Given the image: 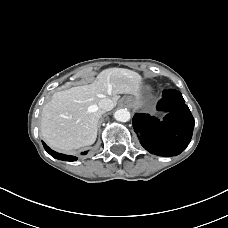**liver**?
Wrapping results in <instances>:
<instances>
[{
  "label": "liver",
  "instance_id": "liver-1",
  "mask_svg": "<svg viewBox=\"0 0 228 228\" xmlns=\"http://www.w3.org/2000/svg\"><path fill=\"white\" fill-rule=\"evenodd\" d=\"M140 84L138 73L110 68L99 73L89 85L55 93L42 110L40 130L44 140L53 149L65 153L93 144L98 121L105 112L99 108V101L111 99L112 109L120 98L119 94L138 96Z\"/></svg>",
  "mask_w": 228,
  "mask_h": 228
}]
</instances>
